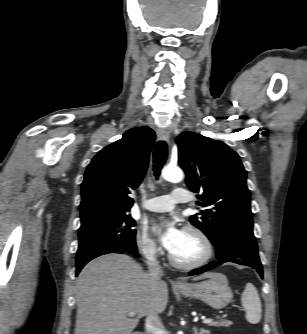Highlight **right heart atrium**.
Instances as JSON below:
<instances>
[{
  "instance_id": "d8ad5b80",
  "label": "right heart atrium",
  "mask_w": 307,
  "mask_h": 334,
  "mask_svg": "<svg viewBox=\"0 0 307 334\" xmlns=\"http://www.w3.org/2000/svg\"><path fill=\"white\" fill-rule=\"evenodd\" d=\"M135 246L147 262L155 261L160 254V248L145 229H140L137 232L135 236Z\"/></svg>"
}]
</instances>
